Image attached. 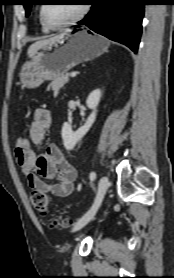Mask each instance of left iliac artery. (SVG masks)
Listing matches in <instances>:
<instances>
[{
  "label": "left iliac artery",
  "instance_id": "left-iliac-artery-1",
  "mask_svg": "<svg viewBox=\"0 0 174 278\" xmlns=\"http://www.w3.org/2000/svg\"><path fill=\"white\" fill-rule=\"evenodd\" d=\"M89 178H90L91 181H94L96 179V173L91 172Z\"/></svg>",
  "mask_w": 174,
  "mask_h": 278
}]
</instances>
